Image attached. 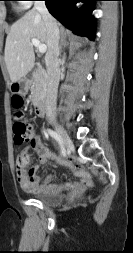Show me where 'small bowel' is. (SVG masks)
Wrapping results in <instances>:
<instances>
[{"mask_svg": "<svg viewBox=\"0 0 133 253\" xmlns=\"http://www.w3.org/2000/svg\"><path fill=\"white\" fill-rule=\"evenodd\" d=\"M30 149H34L44 163L47 162L49 159L55 158L50 149L43 144L39 136L32 137L29 145L21 150L20 155H26ZM62 164L71 166V164L67 161H62ZM38 168V166H34L29 171H26L23 167L17 166L16 177L18 183L21 188L26 192L36 193L44 191L48 188L47 181L41 183V179L37 175ZM75 174L80 179V182L75 185V189H80L84 186L91 185V177L87 171L76 170Z\"/></svg>", "mask_w": 133, "mask_h": 253, "instance_id": "obj_1", "label": "small bowel"}]
</instances>
